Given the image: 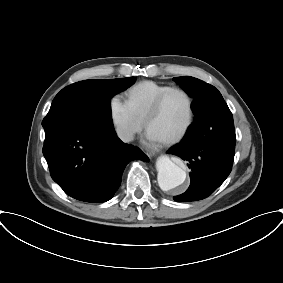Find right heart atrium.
<instances>
[{
  "label": "right heart atrium",
  "mask_w": 283,
  "mask_h": 283,
  "mask_svg": "<svg viewBox=\"0 0 283 283\" xmlns=\"http://www.w3.org/2000/svg\"><path fill=\"white\" fill-rule=\"evenodd\" d=\"M109 117L117 136L123 142H131L142 129V122L138 120L126 101L114 96L109 101Z\"/></svg>",
  "instance_id": "obj_1"
}]
</instances>
